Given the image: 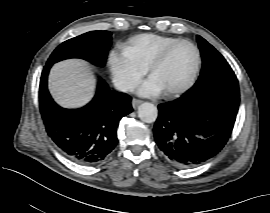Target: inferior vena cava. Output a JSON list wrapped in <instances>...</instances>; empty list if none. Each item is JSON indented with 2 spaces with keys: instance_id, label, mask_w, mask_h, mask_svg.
<instances>
[{
  "instance_id": "1",
  "label": "inferior vena cava",
  "mask_w": 270,
  "mask_h": 213,
  "mask_svg": "<svg viewBox=\"0 0 270 213\" xmlns=\"http://www.w3.org/2000/svg\"><path fill=\"white\" fill-rule=\"evenodd\" d=\"M114 86L118 91L121 92L132 91L136 87L135 83L121 79L114 80Z\"/></svg>"
}]
</instances>
